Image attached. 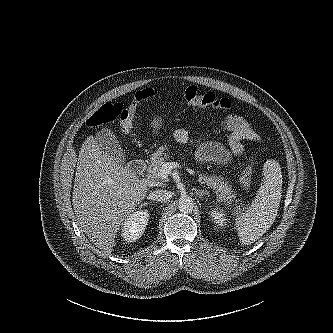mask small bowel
Masks as SVG:
<instances>
[{
    "mask_svg": "<svg viewBox=\"0 0 333 333\" xmlns=\"http://www.w3.org/2000/svg\"><path fill=\"white\" fill-rule=\"evenodd\" d=\"M228 134L229 149L211 140L210 135L193 138L184 128L174 131V139L181 144L196 146V158L202 163L225 165L244 153L243 140L259 141L260 136L252 125L240 114L227 115L218 125L214 134Z\"/></svg>",
    "mask_w": 333,
    "mask_h": 333,
    "instance_id": "obj_1",
    "label": "small bowel"
}]
</instances>
